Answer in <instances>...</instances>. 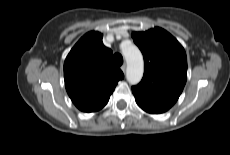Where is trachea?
Instances as JSON below:
<instances>
[{
	"mask_svg": "<svg viewBox=\"0 0 230 155\" xmlns=\"http://www.w3.org/2000/svg\"><path fill=\"white\" fill-rule=\"evenodd\" d=\"M113 61L117 66H121L123 64V57L121 54L116 53L113 56Z\"/></svg>",
	"mask_w": 230,
	"mask_h": 155,
	"instance_id": "obj_1",
	"label": "trachea"
}]
</instances>
